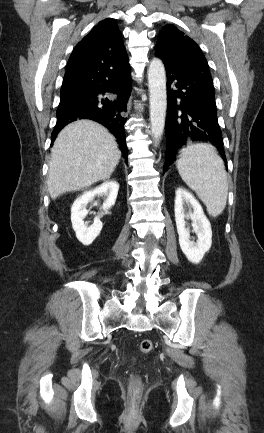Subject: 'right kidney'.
<instances>
[{"instance_id": "1", "label": "right kidney", "mask_w": 264, "mask_h": 433, "mask_svg": "<svg viewBox=\"0 0 264 433\" xmlns=\"http://www.w3.org/2000/svg\"><path fill=\"white\" fill-rule=\"evenodd\" d=\"M119 190V184L114 181H106L93 190L84 192L78 197L71 207V221L73 230L76 233L77 239L84 245H90L100 234L103 224L99 215L94 219L92 225L88 226L84 223V218L88 214L86 206L95 196H105L106 200L103 203V210L106 212L111 208L116 201Z\"/></svg>"}]
</instances>
